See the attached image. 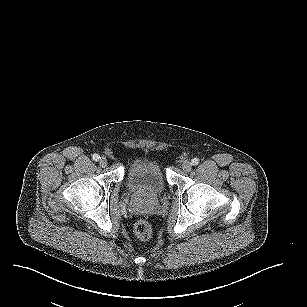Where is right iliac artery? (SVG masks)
Returning <instances> with one entry per match:
<instances>
[{
	"label": "right iliac artery",
	"instance_id": "1",
	"mask_svg": "<svg viewBox=\"0 0 307 307\" xmlns=\"http://www.w3.org/2000/svg\"><path fill=\"white\" fill-rule=\"evenodd\" d=\"M99 159H100V156L98 154H94L93 155V160L94 161H99Z\"/></svg>",
	"mask_w": 307,
	"mask_h": 307
}]
</instances>
